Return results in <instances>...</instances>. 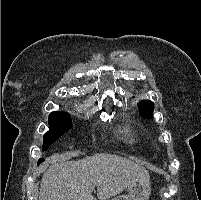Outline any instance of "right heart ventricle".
Returning a JSON list of instances; mask_svg holds the SVG:
<instances>
[{"instance_id":"e07e8e85","label":"right heart ventricle","mask_w":201,"mask_h":200,"mask_svg":"<svg viewBox=\"0 0 201 200\" xmlns=\"http://www.w3.org/2000/svg\"><path fill=\"white\" fill-rule=\"evenodd\" d=\"M120 132L127 138V141L129 143H134L135 142V136L133 134V131H132L131 127L123 126L120 129Z\"/></svg>"}]
</instances>
